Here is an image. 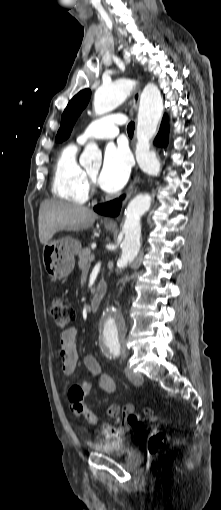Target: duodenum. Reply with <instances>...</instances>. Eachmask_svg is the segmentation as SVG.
Segmentation results:
<instances>
[{
	"instance_id": "obj_1",
	"label": "duodenum",
	"mask_w": 221,
	"mask_h": 510,
	"mask_svg": "<svg viewBox=\"0 0 221 510\" xmlns=\"http://www.w3.org/2000/svg\"><path fill=\"white\" fill-rule=\"evenodd\" d=\"M105 291H106L105 284L102 282L99 283L96 288V291L91 296L90 301H89V308L91 311H96L99 308Z\"/></svg>"
}]
</instances>
